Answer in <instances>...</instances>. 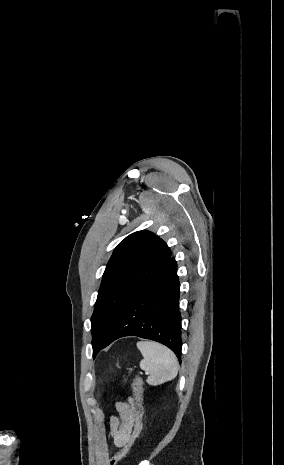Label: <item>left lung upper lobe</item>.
Returning <instances> with one entry per match:
<instances>
[{
  "mask_svg": "<svg viewBox=\"0 0 284 465\" xmlns=\"http://www.w3.org/2000/svg\"><path fill=\"white\" fill-rule=\"evenodd\" d=\"M171 250L150 231H137L115 248L103 274L91 317L93 357L126 304L167 263Z\"/></svg>",
  "mask_w": 284,
  "mask_h": 465,
  "instance_id": "5c2ea615",
  "label": "left lung upper lobe"
}]
</instances>
